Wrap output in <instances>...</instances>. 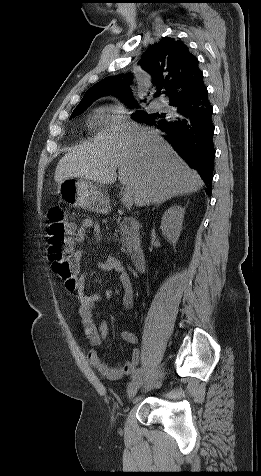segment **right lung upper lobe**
I'll list each match as a JSON object with an SVG mask.
<instances>
[{
    "label": "right lung upper lobe",
    "mask_w": 261,
    "mask_h": 476,
    "mask_svg": "<svg viewBox=\"0 0 261 476\" xmlns=\"http://www.w3.org/2000/svg\"><path fill=\"white\" fill-rule=\"evenodd\" d=\"M139 63L152 76L158 92L166 89L170 105L190 97L203 85L197 58L178 39L162 38L148 49ZM119 77H107L93 85L77 107L90 105L98 97L110 93H115L123 101H128L129 105L135 106L130 89L121 85Z\"/></svg>",
    "instance_id": "right-lung-upper-lobe-1"
}]
</instances>
